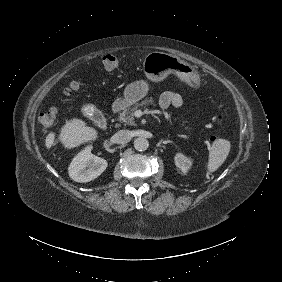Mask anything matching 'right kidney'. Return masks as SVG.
Wrapping results in <instances>:
<instances>
[{
  "mask_svg": "<svg viewBox=\"0 0 282 282\" xmlns=\"http://www.w3.org/2000/svg\"><path fill=\"white\" fill-rule=\"evenodd\" d=\"M106 167V160L91 154L88 148L74 158L69 166V175L76 182H89L100 176Z\"/></svg>",
  "mask_w": 282,
  "mask_h": 282,
  "instance_id": "ca27d5eb",
  "label": "right kidney"
}]
</instances>
